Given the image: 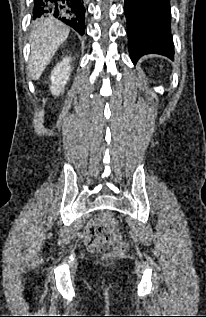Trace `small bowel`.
Wrapping results in <instances>:
<instances>
[{
  "label": "small bowel",
  "instance_id": "1",
  "mask_svg": "<svg viewBox=\"0 0 206 317\" xmlns=\"http://www.w3.org/2000/svg\"><path fill=\"white\" fill-rule=\"evenodd\" d=\"M99 224L98 218L93 219L90 221L85 229V240L87 241L88 237L91 235V233L97 228Z\"/></svg>",
  "mask_w": 206,
  "mask_h": 317
}]
</instances>
